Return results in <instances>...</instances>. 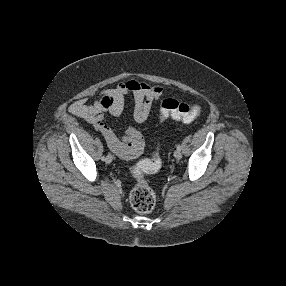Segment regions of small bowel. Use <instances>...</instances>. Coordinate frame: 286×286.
I'll use <instances>...</instances> for the list:
<instances>
[{
    "mask_svg": "<svg viewBox=\"0 0 286 286\" xmlns=\"http://www.w3.org/2000/svg\"><path fill=\"white\" fill-rule=\"evenodd\" d=\"M163 92L164 89L160 85L128 79L102 93L93 103H88L85 98L75 100L69 110L91 123L105 138L113 153L122 159H133L141 154L144 147L143 128L128 127L120 136L116 129L106 122L105 115L119 117L124 110L126 96L131 95L134 100V120L143 124L150 115L153 103L161 98Z\"/></svg>",
    "mask_w": 286,
    "mask_h": 286,
    "instance_id": "small-bowel-1",
    "label": "small bowel"
}]
</instances>
